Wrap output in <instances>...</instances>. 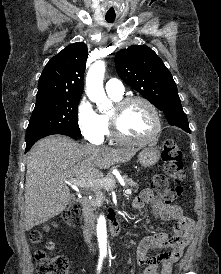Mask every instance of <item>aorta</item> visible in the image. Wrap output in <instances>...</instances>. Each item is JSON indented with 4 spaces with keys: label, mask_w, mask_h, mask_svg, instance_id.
Masks as SVG:
<instances>
[{
    "label": "aorta",
    "mask_w": 221,
    "mask_h": 274,
    "mask_svg": "<svg viewBox=\"0 0 221 274\" xmlns=\"http://www.w3.org/2000/svg\"><path fill=\"white\" fill-rule=\"evenodd\" d=\"M104 74L105 63L100 60L90 67L86 76L87 96L92 102L96 103L99 109H103L110 103L103 87ZM97 238L100 252L105 254L107 252V229L104 216H100L97 222Z\"/></svg>",
    "instance_id": "1"
}]
</instances>
